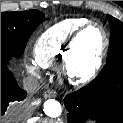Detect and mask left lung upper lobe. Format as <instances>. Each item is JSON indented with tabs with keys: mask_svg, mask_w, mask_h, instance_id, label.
Instances as JSON below:
<instances>
[{
	"mask_svg": "<svg viewBox=\"0 0 123 123\" xmlns=\"http://www.w3.org/2000/svg\"><path fill=\"white\" fill-rule=\"evenodd\" d=\"M110 23V45L107 62L100 72L106 78H112L123 72V23L107 15Z\"/></svg>",
	"mask_w": 123,
	"mask_h": 123,
	"instance_id": "1",
	"label": "left lung upper lobe"
}]
</instances>
